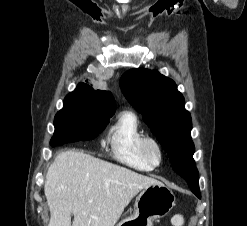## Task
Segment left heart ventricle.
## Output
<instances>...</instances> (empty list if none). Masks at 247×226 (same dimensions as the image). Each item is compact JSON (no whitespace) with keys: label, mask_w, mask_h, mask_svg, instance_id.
Instances as JSON below:
<instances>
[{"label":"left heart ventricle","mask_w":247,"mask_h":226,"mask_svg":"<svg viewBox=\"0 0 247 226\" xmlns=\"http://www.w3.org/2000/svg\"><path fill=\"white\" fill-rule=\"evenodd\" d=\"M150 154H151L153 159H155V160L157 159V153H156L154 148H150Z\"/></svg>","instance_id":"1"}]
</instances>
